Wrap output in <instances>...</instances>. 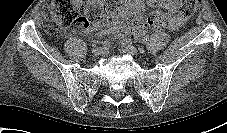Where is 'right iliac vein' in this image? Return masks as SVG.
Wrapping results in <instances>:
<instances>
[{"mask_svg": "<svg viewBox=\"0 0 227 133\" xmlns=\"http://www.w3.org/2000/svg\"><path fill=\"white\" fill-rule=\"evenodd\" d=\"M103 51H104V49H101V47H94V48L92 49V53H93V55H95V56H98V55L102 54Z\"/></svg>", "mask_w": 227, "mask_h": 133, "instance_id": "obj_1", "label": "right iliac vein"}]
</instances>
